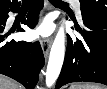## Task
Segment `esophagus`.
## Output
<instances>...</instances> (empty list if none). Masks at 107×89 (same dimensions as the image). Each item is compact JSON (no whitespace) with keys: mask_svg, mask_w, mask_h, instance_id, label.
Listing matches in <instances>:
<instances>
[{"mask_svg":"<svg viewBox=\"0 0 107 89\" xmlns=\"http://www.w3.org/2000/svg\"><path fill=\"white\" fill-rule=\"evenodd\" d=\"M52 42H53V37L52 36L41 39V48H42V51H43V54H44L45 58L48 55L49 49L52 45Z\"/></svg>","mask_w":107,"mask_h":89,"instance_id":"34e87169","label":"esophagus"}]
</instances>
